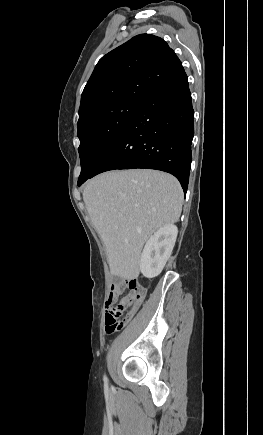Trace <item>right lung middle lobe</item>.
I'll return each instance as SVG.
<instances>
[{
	"label": "right lung middle lobe",
	"mask_w": 263,
	"mask_h": 435,
	"mask_svg": "<svg viewBox=\"0 0 263 435\" xmlns=\"http://www.w3.org/2000/svg\"><path fill=\"white\" fill-rule=\"evenodd\" d=\"M142 104L143 101L124 99L102 105L77 126L81 161L78 183L96 171Z\"/></svg>",
	"instance_id": "1"
}]
</instances>
